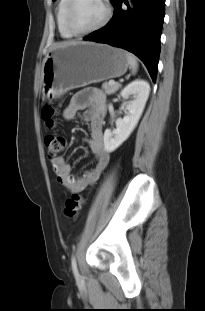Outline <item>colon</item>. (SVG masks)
Segmentation results:
<instances>
[{
    "label": "colon",
    "mask_w": 205,
    "mask_h": 311,
    "mask_svg": "<svg viewBox=\"0 0 205 311\" xmlns=\"http://www.w3.org/2000/svg\"><path fill=\"white\" fill-rule=\"evenodd\" d=\"M58 110L51 104H46L41 110V117L46 126L53 129L57 126ZM47 155L50 159L57 158L66 146V139L61 135L48 134L45 137ZM84 204V198L78 193L72 194L65 202V215L70 219H77Z\"/></svg>",
    "instance_id": "obj_1"
}]
</instances>
